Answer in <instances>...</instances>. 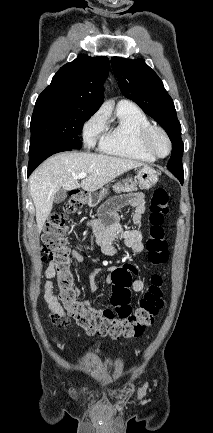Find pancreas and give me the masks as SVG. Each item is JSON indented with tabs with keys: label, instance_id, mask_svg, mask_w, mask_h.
<instances>
[{
	"label": "pancreas",
	"instance_id": "1",
	"mask_svg": "<svg viewBox=\"0 0 213 433\" xmlns=\"http://www.w3.org/2000/svg\"><path fill=\"white\" fill-rule=\"evenodd\" d=\"M129 182H130V184H129ZM113 189L117 193L137 190L136 183L133 182L131 179H129V180L126 179V181H124V186H122L121 183H118L117 185L113 186Z\"/></svg>",
	"mask_w": 213,
	"mask_h": 433
}]
</instances>
